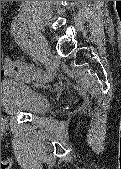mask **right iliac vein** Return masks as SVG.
<instances>
[{
	"instance_id": "1",
	"label": "right iliac vein",
	"mask_w": 121,
	"mask_h": 169,
	"mask_svg": "<svg viewBox=\"0 0 121 169\" xmlns=\"http://www.w3.org/2000/svg\"><path fill=\"white\" fill-rule=\"evenodd\" d=\"M22 25L25 30L30 31L34 35L35 43L38 45L40 52L47 57L50 53V48L44 36L35 28L34 24L29 18H22ZM52 72L50 71L49 77L46 79V82L53 78Z\"/></svg>"
}]
</instances>
